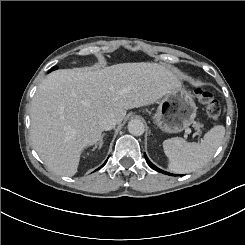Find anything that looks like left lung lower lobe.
<instances>
[{"label":"left lung lower lobe","mask_w":245,"mask_h":245,"mask_svg":"<svg viewBox=\"0 0 245 245\" xmlns=\"http://www.w3.org/2000/svg\"><path fill=\"white\" fill-rule=\"evenodd\" d=\"M144 157H145V159H146L148 165H149L152 169H154V170H156V171H158V172H160V173H163V174H167V175L173 176V174L168 173V172H165V171H163V170L157 168L153 163L150 162V160L147 158L146 154H144ZM174 176H176V175H174Z\"/></svg>","instance_id":"left-lung-lower-lobe-1"}]
</instances>
